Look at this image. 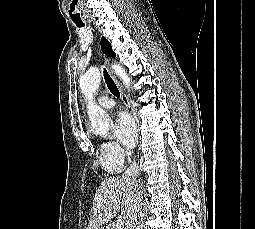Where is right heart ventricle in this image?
Segmentation results:
<instances>
[{"label":"right heart ventricle","instance_id":"obj_1","mask_svg":"<svg viewBox=\"0 0 255 229\" xmlns=\"http://www.w3.org/2000/svg\"><path fill=\"white\" fill-rule=\"evenodd\" d=\"M99 158H100V163H101L102 167L109 173H119L122 171L123 164H115V163H111V162L107 161L106 158L104 157L102 149H100Z\"/></svg>","mask_w":255,"mask_h":229}]
</instances>
